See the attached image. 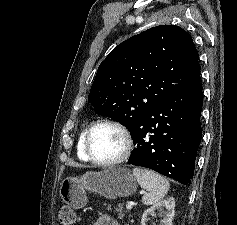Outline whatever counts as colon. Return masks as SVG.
Wrapping results in <instances>:
<instances>
[{
    "instance_id": "1",
    "label": "colon",
    "mask_w": 237,
    "mask_h": 225,
    "mask_svg": "<svg viewBox=\"0 0 237 225\" xmlns=\"http://www.w3.org/2000/svg\"><path fill=\"white\" fill-rule=\"evenodd\" d=\"M58 218L60 225H74L77 220L74 210L70 207H62Z\"/></svg>"
}]
</instances>
